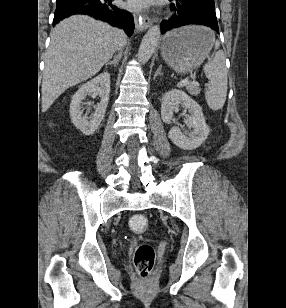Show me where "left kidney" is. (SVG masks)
Segmentation results:
<instances>
[{"instance_id":"5707ae66","label":"left kidney","mask_w":286,"mask_h":308,"mask_svg":"<svg viewBox=\"0 0 286 308\" xmlns=\"http://www.w3.org/2000/svg\"><path fill=\"white\" fill-rule=\"evenodd\" d=\"M179 106L188 109L189 115L185 120V124L187 127L192 128L193 131L184 134L179 127L173 126L168 133V137L181 149H196L201 146L209 134V127L206 124L202 108L196 101L182 90H171L165 93L162 98L161 118L163 122L170 124L174 121V111Z\"/></svg>"}]
</instances>
